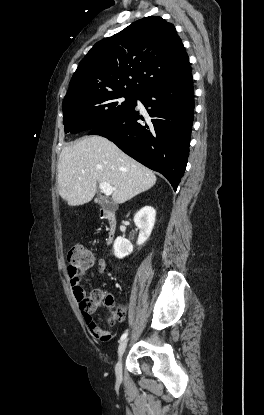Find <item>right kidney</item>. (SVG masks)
<instances>
[{
  "mask_svg": "<svg viewBox=\"0 0 264 415\" xmlns=\"http://www.w3.org/2000/svg\"><path fill=\"white\" fill-rule=\"evenodd\" d=\"M156 211L151 206H145L134 216V223L139 228L137 245L145 243L151 235L155 224ZM114 255L122 259L130 255L133 251L131 242L121 236L117 237L113 245Z\"/></svg>",
  "mask_w": 264,
  "mask_h": 415,
  "instance_id": "right-kidney-1",
  "label": "right kidney"
}]
</instances>
